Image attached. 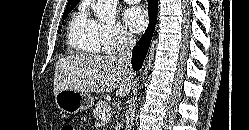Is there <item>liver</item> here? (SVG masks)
<instances>
[{"instance_id": "liver-1", "label": "liver", "mask_w": 249, "mask_h": 130, "mask_svg": "<svg viewBox=\"0 0 249 130\" xmlns=\"http://www.w3.org/2000/svg\"><path fill=\"white\" fill-rule=\"evenodd\" d=\"M134 73L120 64L116 57L78 54L57 61L54 95L62 90L84 93L112 92L119 84L117 96H127L133 85Z\"/></svg>"}]
</instances>
